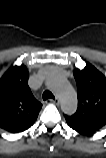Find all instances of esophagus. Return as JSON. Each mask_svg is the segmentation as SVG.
Listing matches in <instances>:
<instances>
[{
  "label": "esophagus",
  "instance_id": "esophagus-1",
  "mask_svg": "<svg viewBox=\"0 0 106 158\" xmlns=\"http://www.w3.org/2000/svg\"><path fill=\"white\" fill-rule=\"evenodd\" d=\"M47 102L59 105V100L57 98H55V99H48Z\"/></svg>",
  "mask_w": 106,
  "mask_h": 158
}]
</instances>
